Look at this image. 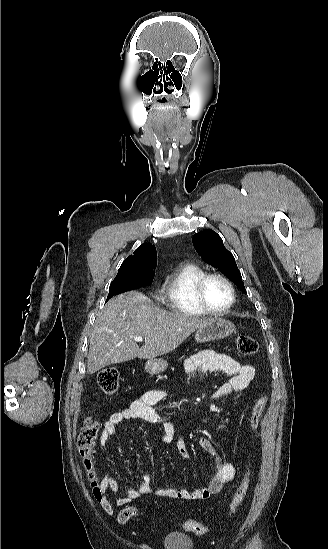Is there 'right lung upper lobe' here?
Masks as SVG:
<instances>
[{
    "mask_svg": "<svg viewBox=\"0 0 328 549\" xmlns=\"http://www.w3.org/2000/svg\"><path fill=\"white\" fill-rule=\"evenodd\" d=\"M157 263L156 248L150 243L142 244L134 254L124 260L119 271L126 270L144 263Z\"/></svg>",
    "mask_w": 328,
    "mask_h": 549,
    "instance_id": "cb5924a9",
    "label": "right lung upper lobe"
}]
</instances>
